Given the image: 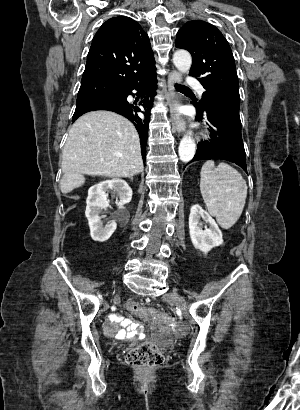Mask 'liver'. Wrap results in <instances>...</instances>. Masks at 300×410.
<instances>
[{"instance_id": "6515ba94", "label": "liver", "mask_w": 300, "mask_h": 410, "mask_svg": "<svg viewBox=\"0 0 300 410\" xmlns=\"http://www.w3.org/2000/svg\"><path fill=\"white\" fill-rule=\"evenodd\" d=\"M62 193L85 182L84 175L132 177L143 171L138 132L125 117L89 112L75 121L62 152Z\"/></svg>"}]
</instances>
